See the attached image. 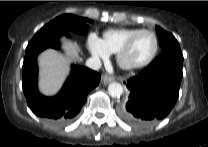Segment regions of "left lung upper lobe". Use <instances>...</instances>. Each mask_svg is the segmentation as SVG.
<instances>
[{"instance_id":"1","label":"left lung upper lobe","mask_w":208,"mask_h":147,"mask_svg":"<svg viewBox=\"0 0 208 147\" xmlns=\"http://www.w3.org/2000/svg\"><path fill=\"white\" fill-rule=\"evenodd\" d=\"M156 31L162 49V53H172L177 56L183 57L179 43L171 33L163 30L159 26H156Z\"/></svg>"}]
</instances>
